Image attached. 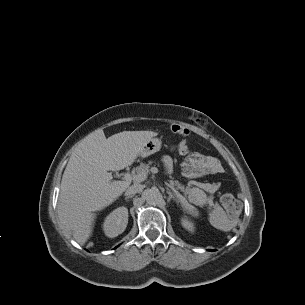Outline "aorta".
I'll list each match as a JSON object with an SVG mask.
<instances>
[{"label": "aorta", "mask_w": 305, "mask_h": 305, "mask_svg": "<svg viewBox=\"0 0 305 305\" xmlns=\"http://www.w3.org/2000/svg\"><path fill=\"white\" fill-rule=\"evenodd\" d=\"M145 200L150 205L159 204L162 200V194L156 188L148 189L144 193Z\"/></svg>", "instance_id": "762f6f07"}]
</instances>
